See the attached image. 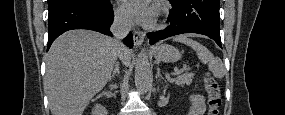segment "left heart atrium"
<instances>
[{
    "mask_svg": "<svg viewBox=\"0 0 285 115\" xmlns=\"http://www.w3.org/2000/svg\"><path fill=\"white\" fill-rule=\"evenodd\" d=\"M122 8L136 21L150 24L154 20L155 9L149 0H122Z\"/></svg>",
    "mask_w": 285,
    "mask_h": 115,
    "instance_id": "obj_1",
    "label": "left heart atrium"
}]
</instances>
